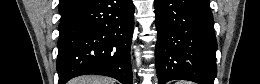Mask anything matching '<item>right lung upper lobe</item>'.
<instances>
[{
	"label": "right lung upper lobe",
	"mask_w": 260,
	"mask_h": 84,
	"mask_svg": "<svg viewBox=\"0 0 260 84\" xmlns=\"http://www.w3.org/2000/svg\"><path fill=\"white\" fill-rule=\"evenodd\" d=\"M89 0H60L59 9L61 13V19L65 18L84 4H86Z\"/></svg>",
	"instance_id": "cb5924a9"
}]
</instances>
